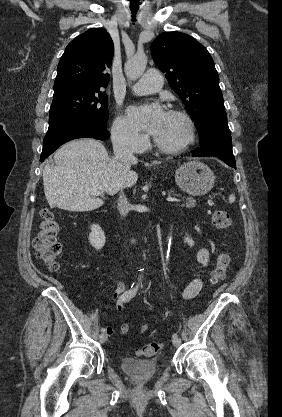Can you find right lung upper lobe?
I'll use <instances>...</instances> for the list:
<instances>
[{"mask_svg":"<svg viewBox=\"0 0 282 417\" xmlns=\"http://www.w3.org/2000/svg\"><path fill=\"white\" fill-rule=\"evenodd\" d=\"M114 45L104 28H92L65 49L54 82V92L76 88H106Z\"/></svg>","mask_w":282,"mask_h":417,"instance_id":"right-lung-upper-lobe-1","label":"right lung upper lobe"}]
</instances>
